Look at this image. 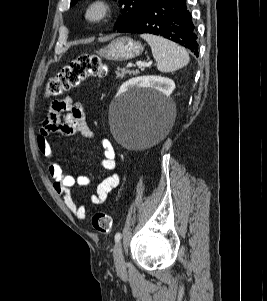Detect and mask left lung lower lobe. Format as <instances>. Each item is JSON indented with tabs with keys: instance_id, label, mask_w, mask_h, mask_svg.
I'll use <instances>...</instances> for the list:
<instances>
[{
	"instance_id": "0a47b994",
	"label": "left lung lower lobe",
	"mask_w": 267,
	"mask_h": 301,
	"mask_svg": "<svg viewBox=\"0 0 267 301\" xmlns=\"http://www.w3.org/2000/svg\"><path fill=\"white\" fill-rule=\"evenodd\" d=\"M117 31L162 36L189 48L198 57L197 34L186 0H150L131 22Z\"/></svg>"
}]
</instances>
